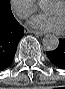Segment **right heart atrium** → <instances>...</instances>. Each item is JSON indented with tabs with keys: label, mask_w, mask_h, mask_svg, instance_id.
I'll list each match as a JSON object with an SVG mask.
<instances>
[{
	"label": "right heart atrium",
	"mask_w": 65,
	"mask_h": 89,
	"mask_svg": "<svg viewBox=\"0 0 65 89\" xmlns=\"http://www.w3.org/2000/svg\"><path fill=\"white\" fill-rule=\"evenodd\" d=\"M13 12L23 20L31 19L38 11V4L34 0H12Z\"/></svg>",
	"instance_id": "obj_1"
}]
</instances>
